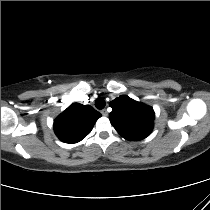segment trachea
I'll return each mask as SVG.
<instances>
[{"instance_id": "trachea-1", "label": "trachea", "mask_w": 210, "mask_h": 210, "mask_svg": "<svg viewBox=\"0 0 210 210\" xmlns=\"http://www.w3.org/2000/svg\"><path fill=\"white\" fill-rule=\"evenodd\" d=\"M106 105V102L103 98H98L96 101H95V106L97 109H103Z\"/></svg>"}]
</instances>
